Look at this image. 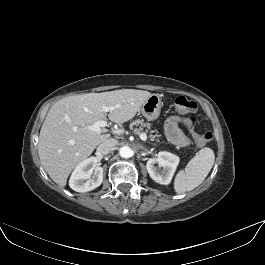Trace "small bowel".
<instances>
[{
  "instance_id": "obj_1",
  "label": "small bowel",
  "mask_w": 265,
  "mask_h": 265,
  "mask_svg": "<svg viewBox=\"0 0 265 265\" xmlns=\"http://www.w3.org/2000/svg\"><path fill=\"white\" fill-rule=\"evenodd\" d=\"M180 123L187 124L186 119L180 116L170 117L165 123V132L171 143L178 147H185L189 145V139L180 129Z\"/></svg>"
}]
</instances>
